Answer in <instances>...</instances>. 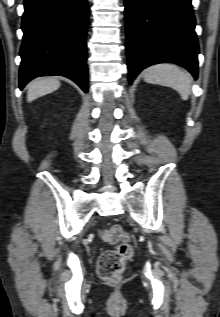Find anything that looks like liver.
Here are the masks:
<instances>
[{
    "label": "liver",
    "mask_w": 220,
    "mask_h": 317,
    "mask_svg": "<svg viewBox=\"0 0 220 317\" xmlns=\"http://www.w3.org/2000/svg\"><path fill=\"white\" fill-rule=\"evenodd\" d=\"M60 87V82L54 77H45L33 81L27 91V100L32 102L39 97L56 91Z\"/></svg>",
    "instance_id": "6515ba94"
}]
</instances>
